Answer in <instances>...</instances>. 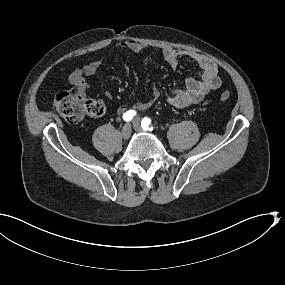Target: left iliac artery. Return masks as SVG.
<instances>
[{"label":"left iliac artery","instance_id":"44dca946","mask_svg":"<svg viewBox=\"0 0 285 285\" xmlns=\"http://www.w3.org/2000/svg\"><path fill=\"white\" fill-rule=\"evenodd\" d=\"M151 120L150 118L145 117L142 121H141V126L144 130H149L152 131L153 127L150 126Z\"/></svg>","mask_w":285,"mask_h":285}]
</instances>
